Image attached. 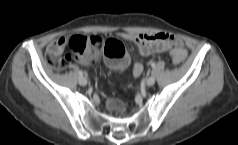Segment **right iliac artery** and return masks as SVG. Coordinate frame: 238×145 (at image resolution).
<instances>
[{
  "instance_id": "obj_1",
  "label": "right iliac artery",
  "mask_w": 238,
  "mask_h": 145,
  "mask_svg": "<svg viewBox=\"0 0 238 145\" xmlns=\"http://www.w3.org/2000/svg\"><path fill=\"white\" fill-rule=\"evenodd\" d=\"M83 74H84V73H83L82 71H79V75H80V76H83Z\"/></svg>"
}]
</instances>
